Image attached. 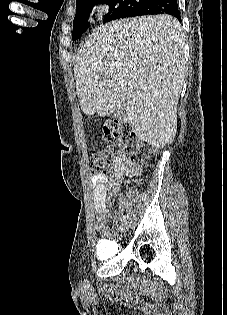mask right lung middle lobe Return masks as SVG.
<instances>
[{"mask_svg":"<svg viewBox=\"0 0 227 315\" xmlns=\"http://www.w3.org/2000/svg\"><path fill=\"white\" fill-rule=\"evenodd\" d=\"M148 0H76V15L73 22V39H77L87 28V20L92 8L98 3L109 5V12L103 23L123 18L127 10L141 8ZM126 18V17H125Z\"/></svg>","mask_w":227,"mask_h":315,"instance_id":"dd1d6c3e","label":"right lung middle lobe"}]
</instances>
